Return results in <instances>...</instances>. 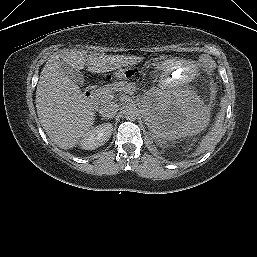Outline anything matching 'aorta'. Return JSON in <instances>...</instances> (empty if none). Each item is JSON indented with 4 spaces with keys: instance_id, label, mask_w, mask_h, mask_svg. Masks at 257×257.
<instances>
[{
    "instance_id": "1",
    "label": "aorta",
    "mask_w": 257,
    "mask_h": 257,
    "mask_svg": "<svg viewBox=\"0 0 257 257\" xmlns=\"http://www.w3.org/2000/svg\"><path fill=\"white\" fill-rule=\"evenodd\" d=\"M138 110L136 107L127 106L124 109V116L127 120L134 121L138 117Z\"/></svg>"
}]
</instances>
